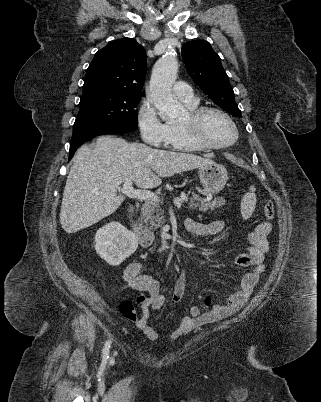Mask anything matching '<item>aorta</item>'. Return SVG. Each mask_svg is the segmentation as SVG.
Here are the masks:
<instances>
[{
	"instance_id": "762f6f07",
	"label": "aorta",
	"mask_w": 321,
	"mask_h": 402,
	"mask_svg": "<svg viewBox=\"0 0 321 402\" xmlns=\"http://www.w3.org/2000/svg\"><path fill=\"white\" fill-rule=\"evenodd\" d=\"M177 72L178 61L173 50L162 56L153 67L149 95L163 120L175 118L184 110L183 106L173 98L171 92Z\"/></svg>"
}]
</instances>
